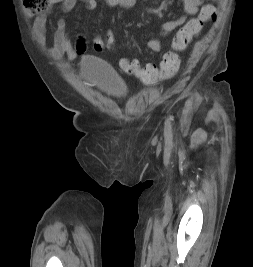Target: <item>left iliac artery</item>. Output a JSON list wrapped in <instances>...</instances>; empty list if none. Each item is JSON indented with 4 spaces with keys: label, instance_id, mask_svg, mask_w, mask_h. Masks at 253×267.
<instances>
[{
    "label": "left iliac artery",
    "instance_id": "left-iliac-artery-1",
    "mask_svg": "<svg viewBox=\"0 0 253 267\" xmlns=\"http://www.w3.org/2000/svg\"><path fill=\"white\" fill-rule=\"evenodd\" d=\"M171 134H172L171 122L169 119H167L165 122V135L167 138H170Z\"/></svg>",
    "mask_w": 253,
    "mask_h": 267
}]
</instances>
